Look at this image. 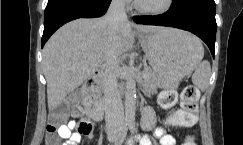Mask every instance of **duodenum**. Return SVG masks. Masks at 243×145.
Returning a JSON list of instances; mask_svg holds the SVG:
<instances>
[{
    "mask_svg": "<svg viewBox=\"0 0 243 145\" xmlns=\"http://www.w3.org/2000/svg\"><path fill=\"white\" fill-rule=\"evenodd\" d=\"M101 73V69L94 70L83 86V100L86 114L95 121L102 119L105 109V102L99 96L97 90V81Z\"/></svg>",
    "mask_w": 243,
    "mask_h": 145,
    "instance_id": "obj_1",
    "label": "duodenum"
}]
</instances>
